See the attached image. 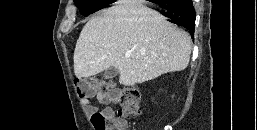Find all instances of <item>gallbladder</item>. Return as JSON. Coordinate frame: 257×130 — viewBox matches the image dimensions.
Returning a JSON list of instances; mask_svg holds the SVG:
<instances>
[{"label":"gallbladder","instance_id":"1","mask_svg":"<svg viewBox=\"0 0 257 130\" xmlns=\"http://www.w3.org/2000/svg\"><path fill=\"white\" fill-rule=\"evenodd\" d=\"M119 71L115 67L108 68L105 72L103 77L105 79H112L118 75Z\"/></svg>","mask_w":257,"mask_h":130}]
</instances>
